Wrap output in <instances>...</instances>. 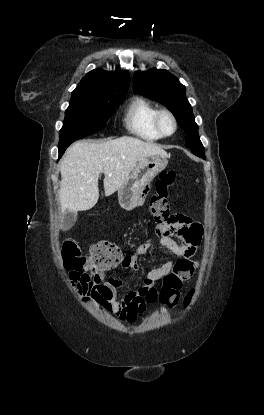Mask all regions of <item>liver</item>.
<instances>
[{"label": "liver", "instance_id": "6515ba94", "mask_svg": "<svg viewBox=\"0 0 264 415\" xmlns=\"http://www.w3.org/2000/svg\"><path fill=\"white\" fill-rule=\"evenodd\" d=\"M153 155L167 156V153L158 145L127 136L72 144L60 165L61 212L93 208L99 199L100 173L105 175V196H110L126 182L139 160Z\"/></svg>", "mask_w": 264, "mask_h": 415}]
</instances>
